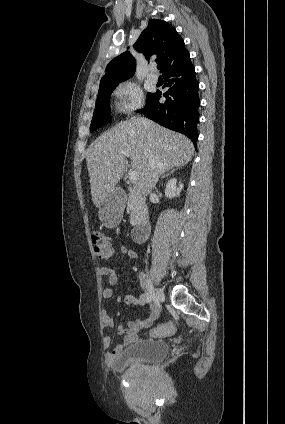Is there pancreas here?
<instances>
[{
    "label": "pancreas",
    "mask_w": 285,
    "mask_h": 424,
    "mask_svg": "<svg viewBox=\"0 0 285 424\" xmlns=\"http://www.w3.org/2000/svg\"><path fill=\"white\" fill-rule=\"evenodd\" d=\"M127 212L130 214V222L133 226H136L141 218L147 213L145 198L135 188L130 189Z\"/></svg>",
    "instance_id": "cf45deb5"
}]
</instances>
